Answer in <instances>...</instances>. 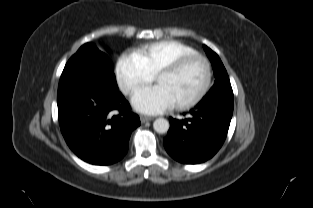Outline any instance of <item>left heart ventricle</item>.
I'll return each mask as SVG.
<instances>
[{
	"label": "left heart ventricle",
	"mask_w": 313,
	"mask_h": 208,
	"mask_svg": "<svg viewBox=\"0 0 313 208\" xmlns=\"http://www.w3.org/2000/svg\"><path fill=\"white\" fill-rule=\"evenodd\" d=\"M204 80V65L195 60L175 74L160 76L156 83L169 93L175 104H178L193 98L200 91Z\"/></svg>",
	"instance_id": "obj_1"
}]
</instances>
